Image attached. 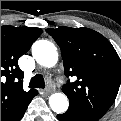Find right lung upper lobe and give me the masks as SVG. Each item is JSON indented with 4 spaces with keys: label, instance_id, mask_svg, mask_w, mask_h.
Wrapping results in <instances>:
<instances>
[{
    "label": "right lung upper lobe",
    "instance_id": "obj_1",
    "mask_svg": "<svg viewBox=\"0 0 121 121\" xmlns=\"http://www.w3.org/2000/svg\"><path fill=\"white\" fill-rule=\"evenodd\" d=\"M41 33L40 28L1 26V121L37 93L35 89L23 90L24 72L18 59Z\"/></svg>",
    "mask_w": 121,
    "mask_h": 121
}]
</instances>
